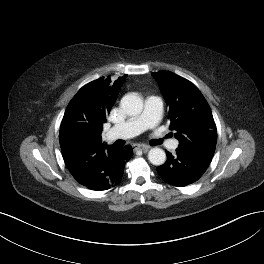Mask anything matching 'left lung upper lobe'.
I'll list each match as a JSON object with an SVG mask.
<instances>
[{
    "label": "left lung upper lobe",
    "instance_id": "5c2ea615",
    "mask_svg": "<svg viewBox=\"0 0 264 264\" xmlns=\"http://www.w3.org/2000/svg\"><path fill=\"white\" fill-rule=\"evenodd\" d=\"M169 106L170 130L175 131L179 149L214 155L217 129L211 109L198 88L172 72L152 73Z\"/></svg>",
    "mask_w": 264,
    "mask_h": 264
}]
</instances>
